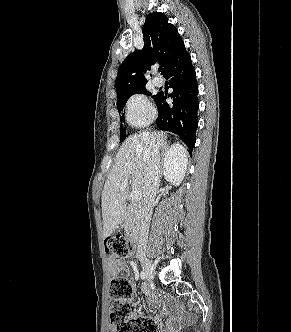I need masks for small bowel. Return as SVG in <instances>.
<instances>
[{
  "instance_id": "small-bowel-1",
  "label": "small bowel",
  "mask_w": 291,
  "mask_h": 332,
  "mask_svg": "<svg viewBox=\"0 0 291 332\" xmlns=\"http://www.w3.org/2000/svg\"><path fill=\"white\" fill-rule=\"evenodd\" d=\"M109 266H110V274L112 276H116L117 274H119L120 272L122 271H127V265L125 263V261L119 259V258H116V257H111L109 259ZM144 290L146 292H148L147 288L144 287ZM152 300L153 301H156L155 297L152 296ZM154 320L155 321H160V316H155L154 317ZM167 326L169 327H173L174 326V322L173 321H170L169 324H167Z\"/></svg>"
}]
</instances>
